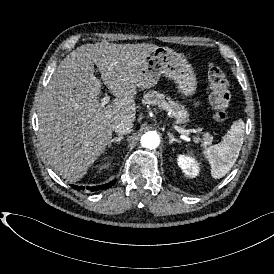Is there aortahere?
I'll list each match as a JSON object with an SVG mask.
<instances>
[{
    "mask_svg": "<svg viewBox=\"0 0 274 274\" xmlns=\"http://www.w3.org/2000/svg\"><path fill=\"white\" fill-rule=\"evenodd\" d=\"M140 143L147 149H155L160 144V137L155 131H148L142 135Z\"/></svg>",
    "mask_w": 274,
    "mask_h": 274,
    "instance_id": "aorta-1",
    "label": "aorta"
}]
</instances>
